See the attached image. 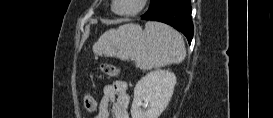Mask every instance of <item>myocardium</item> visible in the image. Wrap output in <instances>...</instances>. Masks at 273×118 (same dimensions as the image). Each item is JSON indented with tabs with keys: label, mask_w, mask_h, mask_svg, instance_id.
<instances>
[{
	"label": "myocardium",
	"mask_w": 273,
	"mask_h": 118,
	"mask_svg": "<svg viewBox=\"0 0 273 118\" xmlns=\"http://www.w3.org/2000/svg\"><path fill=\"white\" fill-rule=\"evenodd\" d=\"M146 2H147V0H138V4H137L136 8H134L133 10L119 11L116 8L118 0H113L111 8H112L113 12L119 16H133V15L140 13L143 10Z\"/></svg>",
	"instance_id": "myocardium-1"
}]
</instances>
